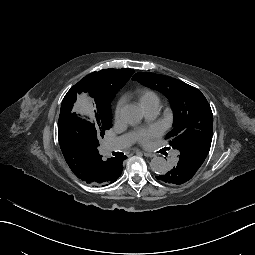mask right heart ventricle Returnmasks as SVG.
Wrapping results in <instances>:
<instances>
[{"instance_id":"obj_1","label":"right heart ventricle","mask_w":255,"mask_h":255,"mask_svg":"<svg viewBox=\"0 0 255 255\" xmlns=\"http://www.w3.org/2000/svg\"><path fill=\"white\" fill-rule=\"evenodd\" d=\"M139 104L144 109L153 105L160 104V98L156 91L146 88L139 95Z\"/></svg>"}]
</instances>
